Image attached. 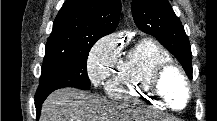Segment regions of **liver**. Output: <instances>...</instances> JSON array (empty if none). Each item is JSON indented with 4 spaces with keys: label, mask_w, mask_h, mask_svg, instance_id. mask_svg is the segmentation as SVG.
<instances>
[{
    "label": "liver",
    "mask_w": 217,
    "mask_h": 121,
    "mask_svg": "<svg viewBox=\"0 0 217 121\" xmlns=\"http://www.w3.org/2000/svg\"><path fill=\"white\" fill-rule=\"evenodd\" d=\"M140 112L116 105L74 88L51 93L41 109L40 121H134Z\"/></svg>",
    "instance_id": "liver-1"
}]
</instances>
